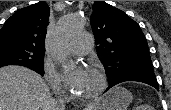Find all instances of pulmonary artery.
Here are the masks:
<instances>
[{
    "mask_svg": "<svg viewBox=\"0 0 171 110\" xmlns=\"http://www.w3.org/2000/svg\"><path fill=\"white\" fill-rule=\"evenodd\" d=\"M93 47V39L89 33H79L69 42L68 48L73 54H86Z\"/></svg>",
    "mask_w": 171,
    "mask_h": 110,
    "instance_id": "1",
    "label": "pulmonary artery"
}]
</instances>
